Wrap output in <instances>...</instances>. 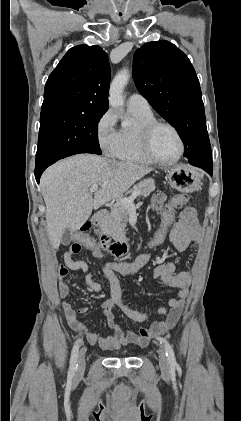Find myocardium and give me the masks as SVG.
I'll return each instance as SVG.
<instances>
[{
    "label": "myocardium",
    "instance_id": "obj_1",
    "mask_svg": "<svg viewBox=\"0 0 241 421\" xmlns=\"http://www.w3.org/2000/svg\"><path fill=\"white\" fill-rule=\"evenodd\" d=\"M159 127H167L169 129H171L178 138V141H179V144H180V151H179L178 155L171 160L160 159L154 153V151L152 149L153 134L155 133V131ZM140 142H141V147H142L144 153L147 155V157L150 160H152L154 163L159 164V165H172V164L178 162L185 152V142H184V139H183L180 131L178 130V128L176 126H174L173 124H171L169 122H166V121L154 120V121L149 122L146 125H144L141 129V132H140Z\"/></svg>",
    "mask_w": 241,
    "mask_h": 421
}]
</instances>
